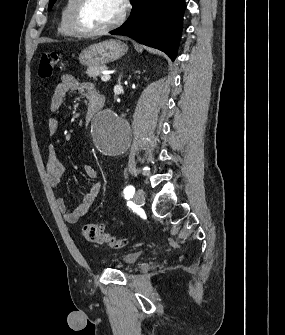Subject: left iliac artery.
I'll use <instances>...</instances> for the list:
<instances>
[{
    "label": "left iliac artery",
    "mask_w": 285,
    "mask_h": 335,
    "mask_svg": "<svg viewBox=\"0 0 285 335\" xmlns=\"http://www.w3.org/2000/svg\"><path fill=\"white\" fill-rule=\"evenodd\" d=\"M134 192H135V188L132 185H129L124 189V196L125 197L132 196Z\"/></svg>",
    "instance_id": "44dca946"
}]
</instances>
